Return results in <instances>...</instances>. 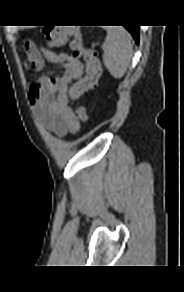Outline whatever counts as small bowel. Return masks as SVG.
<instances>
[{
  "label": "small bowel",
  "instance_id": "1",
  "mask_svg": "<svg viewBox=\"0 0 184 292\" xmlns=\"http://www.w3.org/2000/svg\"><path fill=\"white\" fill-rule=\"evenodd\" d=\"M29 64L41 70L45 61L62 69L60 74L42 76L30 85L29 101L44 126L59 137L76 133L79 119L67 105L68 87L83 74V63L63 52H53L35 46L29 47Z\"/></svg>",
  "mask_w": 184,
  "mask_h": 292
}]
</instances>
